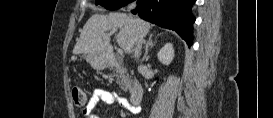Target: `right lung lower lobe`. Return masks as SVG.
Returning <instances> with one entry per match:
<instances>
[{
    "mask_svg": "<svg viewBox=\"0 0 273 118\" xmlns=\"http://www.w3.org/2000/svg\"><path fill=\"white\" fill-rule=\"evenodd\" d=\"M196 0H138L139 9L132 10L142 19L163 28L176 31L188 44L192 45V24L195 21L191 7Z\"/></svg>",
    "mask_w": 273,
    "mask_h": 118,
    "instance_id": "1",
    "label": "right lung lower lobe"
}]
</instances>
